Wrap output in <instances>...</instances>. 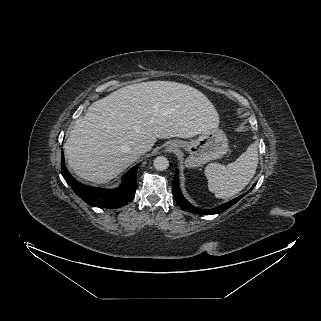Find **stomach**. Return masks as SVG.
<instances>
[{"instance_id":"0dacf381","label":"stomach","mask_w":321,"mask_h":321,"mask_svg":"<svg viewBox=\"0 0 321 321\" xmlns=\"http://www.w3.org/2000/svg\"><path fill=\"white\" fill-rule=\"evenodd\" d=\"M180 146L189 152L186 161L188 167H199L212 160L219 159L228 151V139L225 133L216 128L209 129L195 140L180 141Z\"/></svg>"}]
</instances>
